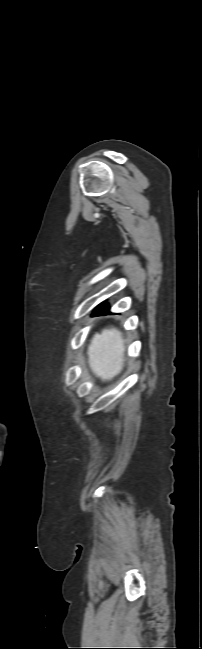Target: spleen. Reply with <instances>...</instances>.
Wrapping results in <instances>:
<instances>
[{
	"instance_id": "1",
	"label": "spleen",
	"mask_w": 202,
	"mask_h": 649,
	"mask_svg": "<svg viewBox=\"0 0 202 649\" xmlns=\"http://www.w3.org/2000/svg\"><path fill=\"white\" fill-rule=\"evenodd\" d=\"M125 346L121 333L112 328L96 334L88 348L91 369L103 379H111L122 369Z\"/></svg>"
}]
</instances>
